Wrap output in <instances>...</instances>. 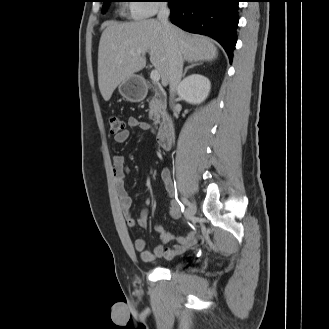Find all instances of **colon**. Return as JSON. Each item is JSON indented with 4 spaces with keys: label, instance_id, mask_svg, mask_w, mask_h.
Returning a JSON list of instances; mask_svg holds the SVG:
<instances>
[{
    "label": "colon",
    "instance_id": "1",
    "mask_svg": "<svg viewBox=\"0 0 329 329\" xmlns=\"http://www.w3.org/2000/svg\"><path fill=\"white\" fill-rule=\"evenodd\" d=\"M109 130L112 135H117L125 130L124 122L117 116L109 118Z\"/></svg>",
    "mask_w": 329,
    "mask_h": 329
}]
</instances>
